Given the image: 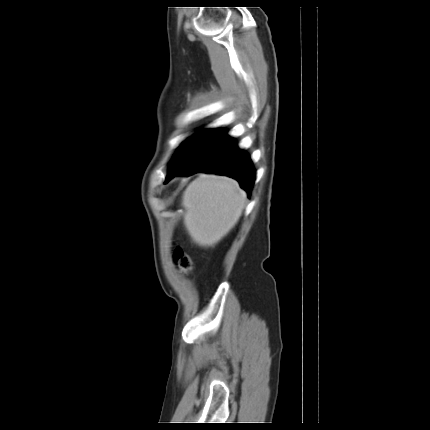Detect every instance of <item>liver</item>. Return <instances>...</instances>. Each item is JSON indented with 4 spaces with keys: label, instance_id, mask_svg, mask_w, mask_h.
<instances>
[{
    "label": "liver",
    "instance_id": "1",
    "mask_svg": "<svg viewBox=\"0 0 430 430\" xmlns=\"http://www.w3.org/2000/svg\"><path fill=\"white\" fill-rule=\"evenodd\" d=\"M246 203V193L236 180L200 174L185 190V226L200 246H213L237 223Z\"/></svg>",
    "mask_w": 430,
    "mask_h": 430
}]
</instances>
